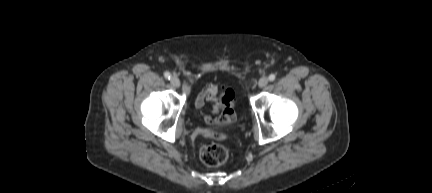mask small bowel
I'll return each instance as SVG.
<instances>
[{"label":"small bowel","mask_w":432,"mask_h":193,"mask_svg":"<svg viewBox=\"0 0 432 193\" xmlns=\"http://www.w3.org/2000/svg\"><path fill=\"white\" fill-rule=\"evenodd\" d=\"M217 87L213 84H207L196 96L195 106L202 109L206 103L213 104V114H205L204 120L207 125L205 134L209 137H218L222 135L221 130L232 125L236 120V114L233 109L227 108L217 97Z\"/></svg>","instance_id":"small-bowel-1"}]
</instances>
